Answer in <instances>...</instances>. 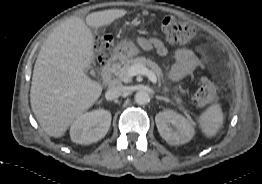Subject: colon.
Listing matches in <instances>:
<instances>
[{
    "label": "colon",
    "instance_id": "colon-1",
    "mask_svg": "<svg viewBox=\"0 0 262 184\" xmlns=\"http://www.w3.org/2000/svg\"><path fill=\"white\" fill-rule=\"evenodd\" d=\"M159 25L168 42L179 45L188 44L195 36V26L187 21L174 17H162ZM113 40L107 34H98L95 37V46L98 52L97 61L100 66H105L109 61L108 50L112 47ZM216 90L208 79H201L193 96V103L201 110H205L214 100Z\"/></svg>",
    "mask_w": 262,
    "mask_h": 184
}]
</instances>
